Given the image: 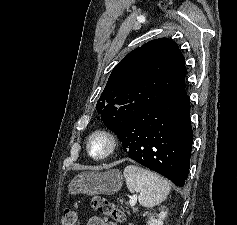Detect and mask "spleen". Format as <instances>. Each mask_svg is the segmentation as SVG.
<instances>
[{
    "mask_svg": "<svg viewBox=\"0 0 237 225\" xmlns=\"http://www.w3.org/2000/svg\"><path fill=\"white\" fill-rule=\"evenodd\" d=\"M124 177L129 191L137 193L139 203L146 208L159 205L171 190L165 178L136 165L126 166Z\"/></svg>",
    "mask_w": 237,
    "mask_h": 225,
    "instance_id": "spleen-1",
    "label": "spleen"
}]
</instances>
